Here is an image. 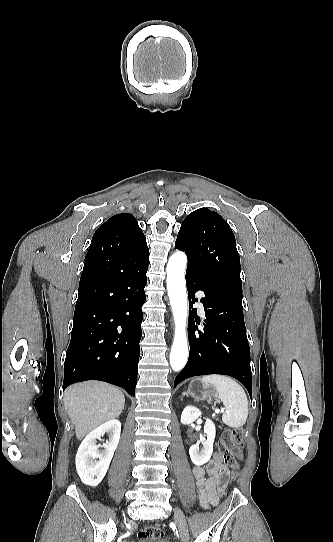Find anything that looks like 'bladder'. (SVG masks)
<instances>
[{
	"instance_id": "bladder-1",
	"label": "bladder",
	"mask_w": 333,
	"mask_h": 542,
	"mask_svg": "<svg viewBox=\"0 0 333 542\" xmlns=\"http://www.w3.org/2000/svg\"><path fill=\"white\" fill-rule=\"evenodd\" d=\"M136 542H170L165 539H158V538H144V539H138Z\"/></svg>"
}]
</instances>
